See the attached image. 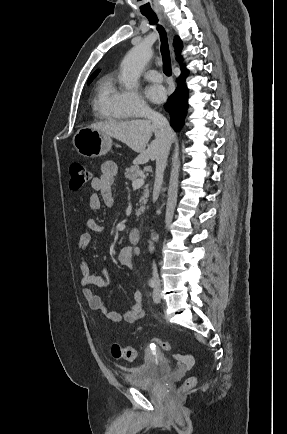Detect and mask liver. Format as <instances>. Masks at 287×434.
<instances>
[{
    "label": "liver",
    "mask_w": 287,
    "mask_h": 434,
    "mask_svg": "<svg viewBox=\"0 0 287 434\" xmlns=\"http://www.w3.org/2000/svg\"><path fill=\"white\" fill-rule=\"evenodd\" d=\"M90 128L116 138L125 143L133 151L139 153L134 163H146L149 160L156 159L159 150L157 139L155 138L148 145L152 133H155V128L150 120L136 119L124 122H101L92 124ZM175 138L176 135L172 131L171 141Z\"/></svg>",
    "instance_id": "liver-1"
}]
</instances>
